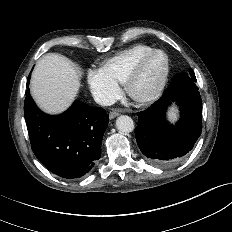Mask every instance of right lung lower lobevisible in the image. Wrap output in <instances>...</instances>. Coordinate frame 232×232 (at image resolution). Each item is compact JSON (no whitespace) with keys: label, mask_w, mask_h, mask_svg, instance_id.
<instances>
[{"label":"right lung lower lobe","mask_w":232,"mask_h":232,"mask_svg":"<svg viewBox=\"0 0 232 232\" xmlns=\"http://www.w3.org/2000/svg\"><path fill=\"white\" fill-rule=\"evenodd\" d=\"M29 93L28 88L24 115L35 156L60 177L73 179L88 174L101 156L109 118L106 111L75 101L63 114L50 116L36 106Z\"/></svg>","instance_id":"right-lung-lower-lobe-1"}]
</instances>
